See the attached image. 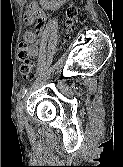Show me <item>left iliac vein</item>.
I'll return each mask as SVG.
<instances>
[{
  "label": "left iliac vein",
  "instance_id": "1",
  "mask_svg": "<svg viewBox=\"0 0 123 167\" xmlns=\"http://www.w3.org/2000/svg\"><path fill=\"white\" fill-rule=\"evenodd\" d=\"M16 113H17V118L20 123L24 121V116H23V100H20L17 103L16 106Z\"/></svg>",
  "mask_w": 123,
  "mask_h": 167
}]
</instances>
